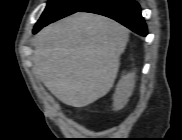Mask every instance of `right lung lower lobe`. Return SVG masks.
<instances>
[{
  "label": "right lung lower lobe",
  "instance_id": "right-lung-lower-lobe-1",
  "mask_svg": "<svg viewBox=\"0 0 182 140\" xmlns=\"http://www.w3.org/2000/svg\"><path fill=\"white\" fill-rule=\"evenodd\" d=\"M112 18L141 36L147 35V27L135 0H92L78 10ZM40 29H34L37 33Z\"/></svg>",
  "mask_w": 182,
  "mask_h": 140
}]
</instances>
